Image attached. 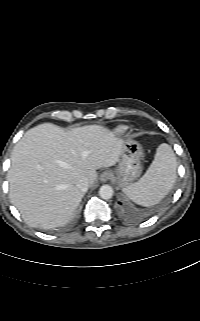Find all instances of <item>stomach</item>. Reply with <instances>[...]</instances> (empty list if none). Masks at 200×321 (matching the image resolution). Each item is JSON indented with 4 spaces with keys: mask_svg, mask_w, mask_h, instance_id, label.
<instances>
[{
    "mask_svg": "<svg viewBox=\"0 0 200 321\" xmlns=\"http://www.w3.org/2000/svg\"><path fill=\"white\" fill-rule=\"evenodd\" d=\"M143 156V149L137 141L129 139L123 143L118 165L111 171L119 187H126L140 177Z\"/></svg>",
    "mask_w": 200,
    "mask_h": 321,
    "instance_id": "obj_1",
    "label": "stomach"
}]
</instances>
